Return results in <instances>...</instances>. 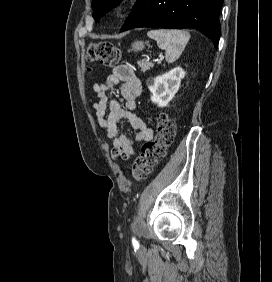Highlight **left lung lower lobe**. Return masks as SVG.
I'll list each match as a JSON object with an SVG mask.
<instances>
[{
    "label": "left lung lower lobe",
    "mask_w": 272,
    "mask_h": 282,
    "mask_svg": "<svg viewBox=\"0 0 272 282\" xmlns=\"http://www.w3.org/2000/svg\"><path fill=\"white\" fill-rule=\"evenodd\" d=\"M222 4L223 0H138L121 31L138 27H191L209 37L217 48Z\"/></svg>",
    "instance_id": "obj_1"
}]
</instances>
